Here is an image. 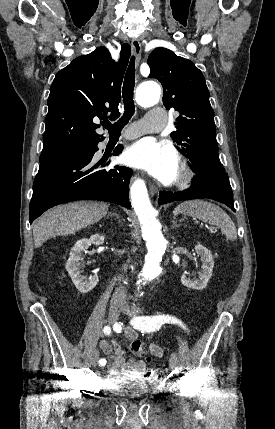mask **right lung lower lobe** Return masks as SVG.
Segmentation results:
<instances>
[{"label":"right lung lower lobe","instance_id":"right-lung-lower-lobe-1","mask_svg":"<svg viewBox=\"0 0 275 429\" xmlns=\"http://www.w3.org/2000/svg\"><path fill=\"white\" fill-rule=\"evenodd\" d=\"M98 144V143H97ZM96 147L78 155L41 163L33 184L29 206L30 223L47 209L76 200H101L122 205L128 209V185L132 170L115 166L106 170L105 161H92ZM122 151L117 146L114 155Z\"/></svg>","mask_w":275,"mask_h":429}]
</instances>
